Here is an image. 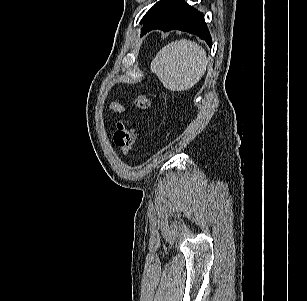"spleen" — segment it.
<instances>
[{"instance_id": "spleen-1", "label": "spleen", "mask_w": 307, "mask_h": 301, "mask_svg": "<svg viewBox=\"0 0 307 301\" xmlns=\"http://www.w3.org/2000/svg\"><path fill=\"white\" fill-rule=\"evenodd\" d=\"M205 50L196 42L180 39L164 46L150 69L170 91H185L196 85L206 71Z\"/></svg>"}]
</instances>
